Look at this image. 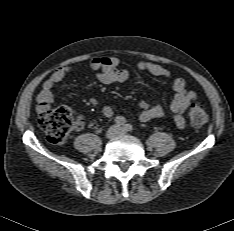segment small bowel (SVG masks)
I'll use <instances>...</instances> for the list:
<instances>
[{"label":"small bowel","instance_id":"small-bowel-1","mask_svg":"<svg viewBox=\"0 0 234 231\" xmlns=\"http://www.w3.org/2000/svg\"><path fill=\"white\" fill-rule=\"evenodd\" d=\"M119 60L114 56L94 57L89 62V68L96 73L97 79L103 84H116L127 81L130 78L128 70L119 69ZM138 69L157 77H169L170 70L152 62H140ZM73 71V67L65 65L56 69L52 75L44 81L42 88L36 95V104L39 111L47 110L54 102L53 88L60 83L69 73ZM172 88L175 95L170 103L171 117L175 126L179 129L185 127L184 113L189 105L196 100L197 95L194 91L188 90L186 81L183 77L174 79ZM140 108L139 120L148 122L153 119H162L167 113L160 103L151 104L141 100L138 103ZM102 113L106 117H112L114 110L110 105L102 108ZM84 123L81 117H78L74 123L73 129L79 131L83 128Z\"/></svg>","mask_w":234,"mask_h":231}]
</instances>
